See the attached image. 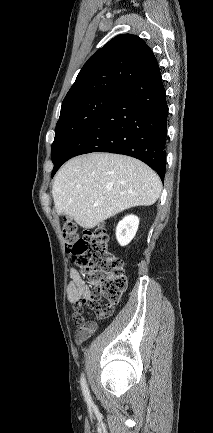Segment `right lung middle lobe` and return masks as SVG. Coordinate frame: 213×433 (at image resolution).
<instances>
[{
    "label": "right lung middle lobe",
    "instance_id": "obj_1",
    "mask_svg": "<svg viewBox=\"0 0 213 433\" xmlns=\"http://www.w3.org/2000/svg\"><path fill=\"white\" fill-rule=\"evenodd\" d=\"M120 95V93L102 92L61 106L55 138L51 147L53 163L71 141L102 115Z\"/></svg>",
    "mask_w": 213,
    "mask_h": 433
}]
</instances>
